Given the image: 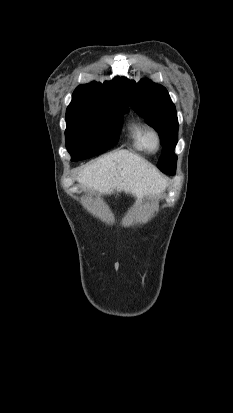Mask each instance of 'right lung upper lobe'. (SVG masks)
I'll list each match as a JSON object with an SVG mask.
<instances>
[{"mask_svg": "<svg viewBox=\"0 0 233 413\" xmlns=\"http://www.w3.org/2000/svg\"><path fill=\"white\" fill-rule=\"evenodd\" d=\"M122 78L116 77L112 81L103 84L92 82L90 84L79 85L72 96V99H86L93 101L123 103L127 107V102L122 94Z\"/></svg>", "mask_w": 233, "mask_h": 413, "instance_id": "right-lung-upper-lobe-1", "label": "right lung upper lobe"}]
</instances>
